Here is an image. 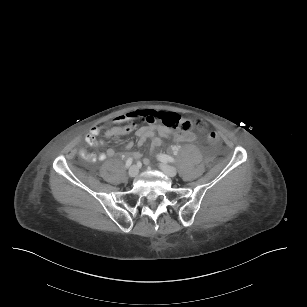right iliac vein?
<instances>
[{
	"label": "right iliac vein",
	"instance_id": "right-iliac-vein-1",
	"mask_svg": "<svg viewBox=\"0 0 307 307\" xmlns=\"http://www.w3.org/2000/svg\"><path fill=\"white\" fill-rule=\"evenodd\" d=\"M138 173H139V169L136 165H133L132 167H130L129 172H128L129 176L132 178L136 177Z\"/></svg>",
	"mask_w": 307,
	"mask_h": 307
}]
</instances>
